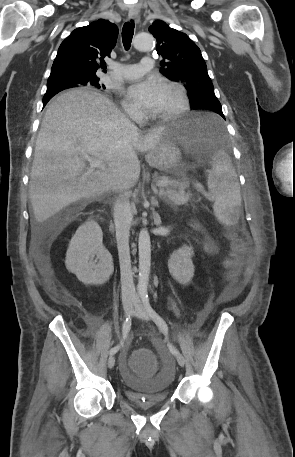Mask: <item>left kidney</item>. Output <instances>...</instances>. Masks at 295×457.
Returning a JSON list of instances; mask_svg holds the SVG:
<instances>
[{
	"instance_id": "1",
	"label": "left kidney",
	"mask_w": 295,
	"mask_h": 457,
	"mask_svg": "<svg viewBox=\"0 0 295 457\" xmlns=\"http://www.w3.org/2000/svg\"><path fill=\"white\" fill-rule=\"evenodd\" d=\"M192 247L184 245L174 251L168 260V268L172 277L182 285H187L194 276V265L191 257Z\"/></svg>"
}]
</instances>
